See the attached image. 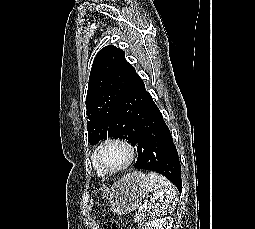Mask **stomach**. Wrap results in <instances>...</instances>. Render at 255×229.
Returning a JSON list of instances; mask_svg holds the SVG:
<instances>
[{
    "mask_svg": "<svg viewBox=\"0 0 255 229\" xmlns=\"http://www.w3.org/2000/svg\"><path fill=\"white\" fill-rule=\"evenodd\" d=\"M151 189L148 177L140 171L126 174L110 190L109 207L123 215L136 210Z\"/></svg>",
    "mask_w": 255,
    "mask_h": 229,
    "instance_id": "obj_1",
    "label": "stomach"
}]
</instances>
